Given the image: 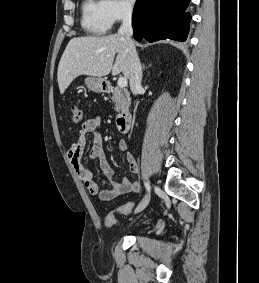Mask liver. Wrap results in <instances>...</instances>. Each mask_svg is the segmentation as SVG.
<instances>
[{"mask_svg": "<svg viewBox=\"0 0 259 283\" xmlns=\"http://www.w3.org/2000/svg\"><path fill=\"white\" fill-rule=\"evenodd\" d=\"M129 69L128 47L121 35L75 37L67 44L58 65L59 90L64 94L71 82L80 75L101 78L112 71V75L122 72L129 78Z\"/></svg>", "mask_w": 259, "mask_h": 283, "instance_id": "obj_1", "label": "liver"}]
</instances>
